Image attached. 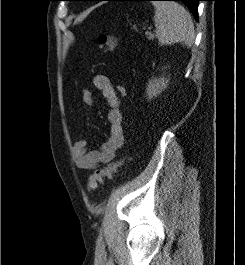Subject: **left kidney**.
I'll return each mask as SVG.
<instances>
[{
    "label": "left kidney",
    "mask_w": 245,
    "mask_h": 265,
    "mask_svg": "<svg viewBox=\"0 0 245 265\" xmlns=\"http://www.w3.org/2000/svg\"><path fill=\"white\" fill-rule=\"evenodd\" d=\"M168 81L165 77L160 78H153L149 80L146 88V95L148 99H151L153 97H156L158 94L164 90L167 85Z\"/></svg>",
    "instance_id": "5707ae66"
}]
</instances>
